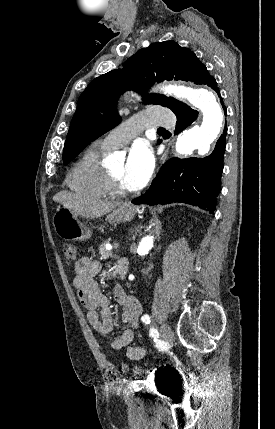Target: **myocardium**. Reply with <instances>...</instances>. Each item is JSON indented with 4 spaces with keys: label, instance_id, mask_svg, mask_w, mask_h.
Segmentation results:
<instances>
[{
    "label": "myocardium",
    "instance_id": "f54148a6",
    "mask_svg": "<svg viewBox=\"0 0 275 429\" xmlns=\"http://www.w3.org/2000/svg\"><path fill=\"white\" fill-rule=\"evenodd\" d=\"M107 176L111 193L118 196H126L129 194V191L121 186L119 180L111 173L110 169H107Z\"/></svg>",
    "mask_w": 275,
    "mask_h": 429
}]
</instances>
